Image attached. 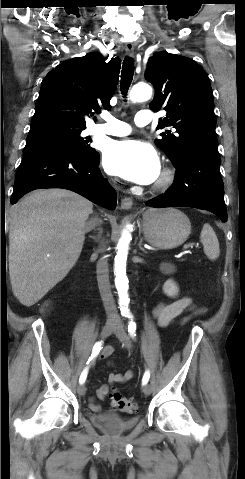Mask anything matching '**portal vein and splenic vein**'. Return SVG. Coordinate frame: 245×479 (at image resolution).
Returning <instances> with one entry per match:
<instances>
[{"label":"portal vein and splenic vein","mask_w":245,"mask_h":479,"mask_svg":"<svg viewBox=\"0 0 245 479\" xmlns=\"http://www.w3.org/2000/svg\"><path fill=\"white\" fill-rule=\"evenodd\" d=\"M192 247H193V245H188V244H187V245H184V247H183V249H184L183 254L188 253L189 250H190V248H192Z\"/></svg>","instance_id":"1"}]
</instances>
